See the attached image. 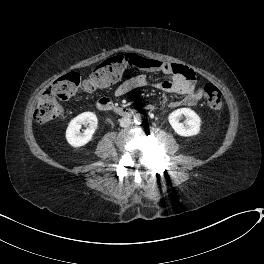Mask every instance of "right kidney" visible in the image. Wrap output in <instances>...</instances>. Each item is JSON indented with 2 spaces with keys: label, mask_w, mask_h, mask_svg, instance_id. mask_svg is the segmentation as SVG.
Segmentation results:
<instances>
[{
  "label": "right kidney",
  "mask_w": 264,
  "mask_h": 264,
  "mask_svg": "<svg viewBox=\"0 0 264 264\" xmlns=\"http://www.w3.org/2000/svg\"><path fill=\"white\" fill-rule=\"evenodd\" d=\"M84 126H89L83 133L80 129ZM98 119L93 112H84L73 118L66 130L67 142L73 147H81L87 144L97 129Z\"/></svg>",
  "instance_id": "1"
}]
</instances>
